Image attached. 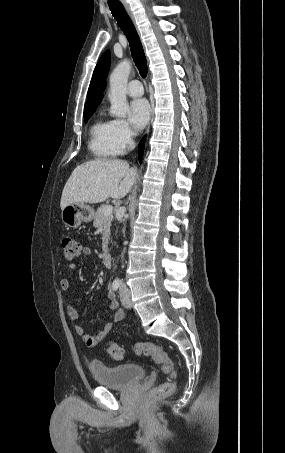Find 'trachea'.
Here are the masks:
<instances>
[{
    "mask_svg": "<svg viewBox=\"0 0 285 453\" xmlns=\"http://www.w3.org/2000/svg\"><path fill=\"white\" fill-rule=\"evenodd\" d=\"M108 5L113 17L116 19L119 27L128 39L132 58L140 75L145 78L147 76V60L133 22L120 1L109 0Z\"/></svg>",
    "mask_w": 285,
    "mask_h": 453,
    "instance_id": "1",
    "label": "trachea"
}]
</instances>
